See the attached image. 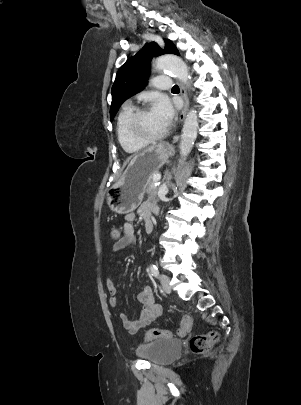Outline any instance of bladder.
Returning a JSON list of instances; mask_svg holds the SVG:
<instances>
[{
    "label": "bladder",
    "mask_w": 301,
    "mask_h": 405,
    "mask_svg": "<svg viewBox=\"0 0 301 405\" xmlns=\"http://www.w3.org/2000/svg\"><path fill=\"white\" fill-rule=\"evenodd\" d=\"M178 340L159 338L139 345L136 354L153 364L165 365L173 362L181 353Z\"/></svg>",
    "instance_id": "1"
}]
</instances>
